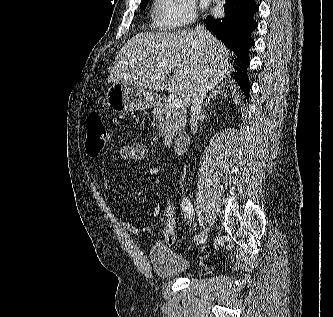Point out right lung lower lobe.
Here are the masks:
<instances>
[{"instance_id": "obj_1", "label": "right lung lower lobe", "mask_w": 333, "mask_h": 317, "mask_svg": "<svg viewBox=\"0 0 333 317\" xmlns=\"http://www.w3.org/2000/svg\"><path fill=\"white\" fill-rule=\"evenodd\" d=\"M224 8L225 17H206V28L238 56L234 61L237 72L233 78L248 98L251 87L247 74L250 63L248 51L254 45L251 33L257 28L258 23L254 21L253 16L259 6L255 0H226Z\"/></svg>"}]
</instances>
